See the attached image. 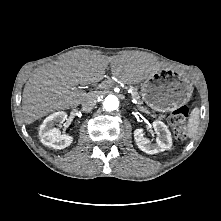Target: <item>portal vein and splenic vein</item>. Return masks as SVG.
Masks as SVG:
<instances>
[{
	"instance_id": "1",
	"label": "portal vein and splenic vein",
	"mask_w": 221,
	"mask_h": 221,
	"mask_svg": "<svg viewBox=\"0 0 221 221\" xmlns=\"http://www.w3.org/2000/svg\"><path fill=\"white\" fill-rule=\"evenodd\" d=\"M107 86H108V84H106V83H101V84L99 85L100 88H105V87H107ZM140 110H141L142 112L149 113V112H147L145 109H143L142 107H140Z\"/></svg>"
}]
</instances>
